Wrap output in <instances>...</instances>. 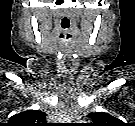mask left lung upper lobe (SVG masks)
<instances>
[{
	"label": "left lung upper lobe",
	"instance_id": "obj_1",
	"mask_svg": "<svg viewBox=\"0 0 135 126\" xmlns=\"http://www.w3.org/2000/svg\"><path fill=\"white\" fill-rule=\"evenodd\" d=\"M89 117L92 119V121L95 124H106L111 123V116L109 114H106L104 112H97V113H91L89 114Z\"/></svg>",
	"mask_w": 135,
	"mask_h": 126
}]
</instances>
